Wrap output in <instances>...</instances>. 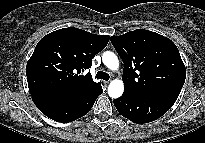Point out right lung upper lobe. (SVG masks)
Here are the masks:
<instances>
[{
  "label": "right lung upper lobe",
  "instance_id": "obj_1",
  "mask_svg": "<svg viewBox=\"0 0 205 143\" xmlns=\"http://www.w3.org/2000/svg\"><path fill=\"white\" fill-rule=\"evenodd\" d=\"M108 35L78 28H63L44 36L27 62L26 75L33 98L74 99L99 85L92 75H83L93 57L105 48Z\"/></svg>",
  "mask_w": 205,
  "mask_h": 143
}]
</instances>
